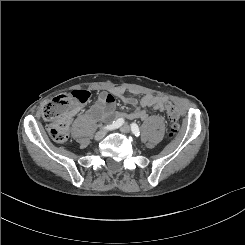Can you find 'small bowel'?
<instances>
[{
    "mask_svg": "<svg viewBox=\"0 0 245 245\" xmlns=\"http://www.w3.org/2000/svg\"><path fill=\"white\" fill-rule=\"evenodd\" d=\"M122 101L125 104L135 106V109L128 114L131 119L139 118L147 119L148 115L145 108H153L155 110H163L166 99L161 96L146 94L140 99L133 97H123ZM115 109V98L112 94L102 92L99 94L96 103L90 108L89 114L95 120H100L109 117Z\"/></svg>",
    "mask_w": 245,
    "mask_h": 245,
    "instance_id": "1",
    "label": "small bowel"
}]
</instances>
